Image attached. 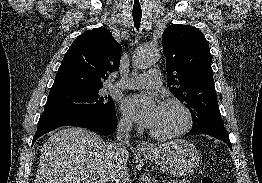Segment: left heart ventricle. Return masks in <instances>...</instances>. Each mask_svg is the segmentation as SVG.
<instances>
[{
	"label": "left heart ventricle",
	"mask_w": 262,
	"mask_h": 183,
	"mask_svg": "<svg viewBox=\"0 0 262 183\" xmlns=\"http://www.w3.org/2000/svg\"><path fill=\"white\" fill-rule=\"evenodd\" d=\"M185 122V114L178 106L161 104L151 130L159 134H170L182 128Z\"/></svg>",
	"instance_id": "left-heart-ventricle-1"
}]
</instances>
